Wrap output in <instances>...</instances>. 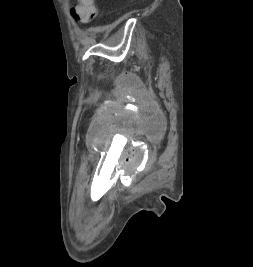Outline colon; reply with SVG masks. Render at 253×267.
Wrapping results in <instances>:
<instances>
[{"instance_id":"1","label":"colon","mask_w":253,"mask_h":267,"mask_svg":"<svg viewBox=\"0 0 253 267\" xmlns=\"http://www.w3.org/2000/svg\"><path fill=\"white\" fill-rule=\"evenodd\" d=\"M79 4L71 9V14L80 23H89L97 15L95 0H78Z\"/></svg>"}]
</instances>
